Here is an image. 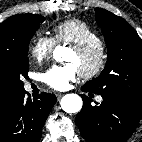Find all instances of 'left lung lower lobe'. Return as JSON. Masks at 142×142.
I'll list each match as a JSON object with an SVG mask.
<instances>
[{
	"label": "left lung lower lobe",
	"mask_w": 142,
	"mask_h": 142,
	"mask_svg": "<svg viewBox=\"0 0 142 142\" xmlns=\"http://www.w3.org/2000/svg\"><path fill=\"white\" fill-rule=\"evenodd\" d=\"M82 91L90 92L82 86ZM101 104L91 105V99L81 95L83 108L77 115V125L88 142H125L137 128L142 116V103L128 98L103 96Z\"/></svg>",
	"instance_id": "0a47b994"
}]
</instances>
